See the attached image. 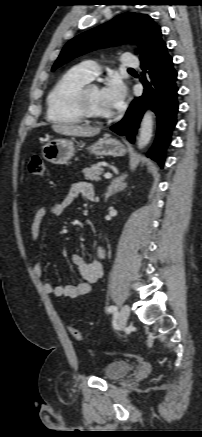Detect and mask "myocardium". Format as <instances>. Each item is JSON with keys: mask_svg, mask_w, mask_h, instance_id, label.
<instances>
[{"mask_svg": "<svg viewBox=\"0 0 202 437\" xmlns=\"http://www.w3.org/2000/svg\"><path fill=\"white\" fill-rule=\"evenodd\" d=\"M93 87L98 86L94 83L88 82L77 91L75 96L76 109L83 120L95 123L110 121L112 116H98L91 111L88 104V92Z\"/></svg>", "mask_w": 202, "mask_h": 437, "instance_id": "myocardium-1", "label": "myocardium"}]
</instances>
